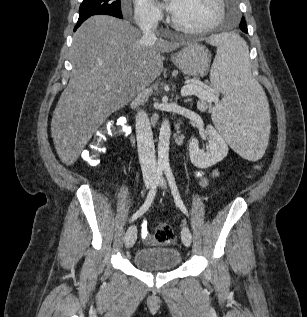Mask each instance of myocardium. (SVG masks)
<instances>
[{
	"label": "myocardium",
	"instance_id": "f54148a6",
	"mask_svg": "<svg viewBox=\"0 0 307 317\" xmlns=\"http://www.w3.org/2000/svg\"><path fill=\"white\" fill-rule=\"evenodd\" d=\"M216 2L218 5V14L211 24L200 28H189L180 24L172 15L170 18L171 26L180 32L190 35H205L207 33H210L222 23L226 13V6L224 0H216Z\"/></svg>",
	"mask_w": 307,
	"mask_h": 317
}]
</instances>
